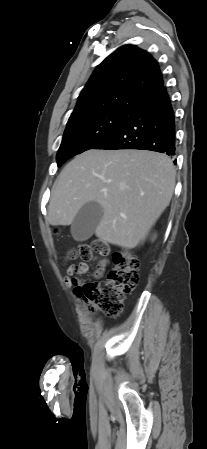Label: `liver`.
<instances>
[{"label": "liver", "mask_w": 207, "mask_h": 449, "mask_svg": "<svg viewBox=\"0 0 207 449\" xmlns=\"http://www.w3.org/2000/svg\"><path fill=\"white\" fill-rule=\"evenodd\" d=\"M176 171L171 159L147 150H88L57 177L48 206L53 226H67L88 202L103 208L95 235L132 249L142 243L169 205Z\"/></svg>", "instance_id": "liver-1"}]
</instances>
